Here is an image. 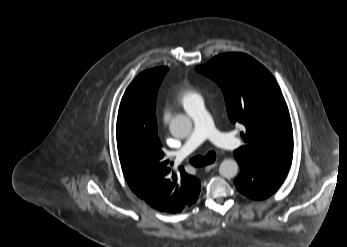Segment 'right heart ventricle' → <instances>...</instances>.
<instances>
[{
	"label": "right heart ventricle",
	"mask_w": 347,
	"mask_h": 247,
	"mask_svg": "<svg viewBox=\"0 0 347 247\" xmlns=\"http://www.w3.org/2000/svg\"><path fill=\"white\" fill-rule=\"evenodd\" d=\"M200 97L198 91L190 84L183 83L176 90L174 100L177 104L186 108L193 100Z\"/></svg>",
	"instance_id": "e07e8e85"
}]
</instances>
